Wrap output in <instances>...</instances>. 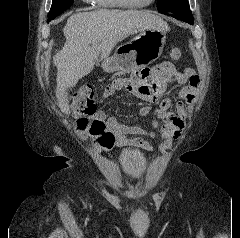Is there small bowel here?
Returning a JSON list of instances; mask_svg holds the SVG:
<instances>
[{
    "mask_svg": "<svg viewBox=\"0 0 240 238\" xmlns=\"http://www.w3.org/2000/svg\"><path fill=\"white\" fill-rule=\"evenodd\" d=\"M171 82L185 84L178 94L176 112L170 111L171 100L168 98L163 99L159 106L155 108V113L161 122L152 121L151 130H146L139 126L121 124L113 116L106 117L103 111L95 113L94 118L103 120L107 131L114 138L113 143L106 148L131 145L146 150H155L147 138H154L157 131L161 134L162 142L156 149L159 152H166L170 148L172 140L180 135L184 127L187 115L184 106L185 104H191L197 93L199 81L192 68L187 67L180 70L171 62H163L153 67L150 71L143 70L141 77L131 80L117 79L112 81L105 87L100 99V101H103L116 91L125 88L136 97L155 101L163 96L166 87ZM149 112L150 107L148 106H142L139 109L141 116H146Z\"/></svg>",
    "mask_w": 240,
    "mask_h": 238,
    "instance_id": "obj_1",
    "label": "small bowel"
}]
</instances>
